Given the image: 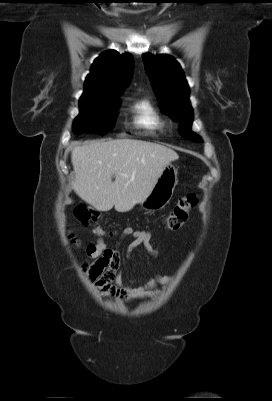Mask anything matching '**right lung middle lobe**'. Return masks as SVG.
<instances>
[{"label":"right lung middle lobe","instance_id":"1","mask_svg":"<svg viewBox=\"0 0 272 401\" xmlns=\"http://www.w3.org/2000/svg\"><path fill=\"white\" fill-rule=\"evenodd\" d=\"M119 93H103L80 99V114L73 126L75 132H94L104 135L110 131L117 116Z\"/></svg>","mask_w":272,"mask_h":401}]
</instances>
